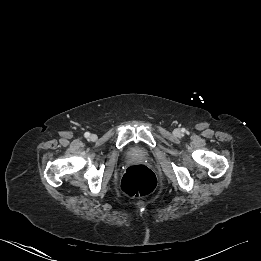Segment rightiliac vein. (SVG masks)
Instances as JSON below:
<instances>
[{
	"label": "right iliac vein",
	"instance_id": "63e3f726",
	"mask_svg": "<svg viewBox=\"0 0 261 261\" xmlns=\"http://www.w3.org/2000/svg\"><path fill=\"white\" fill-rule=\"evenodd\" d=\"M90 139H91L92 141L96 140V135H95V134H92V135L90 136Z\"/></svg>",
	"mask_w": 261,
	"mask_h": 261
}]
</instances>
